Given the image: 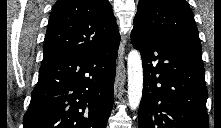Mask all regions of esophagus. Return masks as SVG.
<instances>
[{
	"mask_svg": "<svg viewBox=\"0 0 221 128\" xmlns=\"http://www.w3.org/2000/svg\"><path fill=\"white\" fill-rule=\"evenodd\" d=\"M118 83H119V73L117 72L116 81H115V91H117Z\"/></svg>",
	"mask_w": 221,
	"mask_h": 128,
	"instance_id": "1",
	"label": "esophagus"
}]
</instances>
